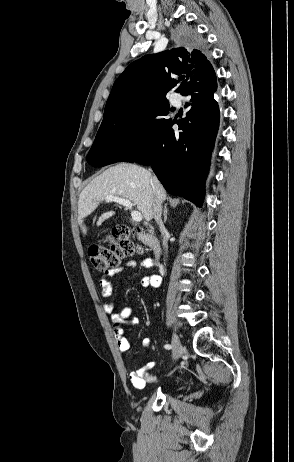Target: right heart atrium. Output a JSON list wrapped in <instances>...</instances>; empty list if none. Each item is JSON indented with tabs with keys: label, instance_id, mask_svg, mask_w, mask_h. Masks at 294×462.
Returning a JSON list of instances; mask_svg holds the SVG:
<instances>
[{
	"label": "right heart atrium",
	"instance_id": "obj_1",
	"mask_svg": "<svg viewBox=\"0 0 294 462\" xmlns=\"http://www.w3.org/2000/svg\"><path fill=\"white\" fill-rule=\"evenodd\" d=\"M145 127V120L143 118H138L134 121L131 127V132L133 136H139Z\"/></svg>",
	"mask_w": 294,
	"mask_h": 462
}]
</instances>
